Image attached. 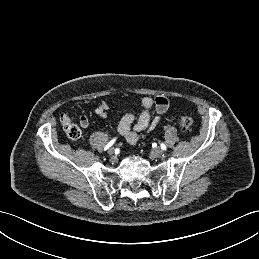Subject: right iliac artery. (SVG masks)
Wrapping results in <instances>:
<instances>
[{
  "instance_id": "obj_1",
  "label": "right iliac artery",
  "mask_w": 259,
  "mask_h": 259,
  "mask_svg": "<svg viewBox=\"0 0 259 259\" xmlns=\"http://www.w3.org/2000/svg\"><path fill=\"white\" fill-rule=\"evenodd\" d=\"M115 140H111L106 146H105V150L108 149L109 147H111L113 145Z\"/></svg>"
}]
</instances>
